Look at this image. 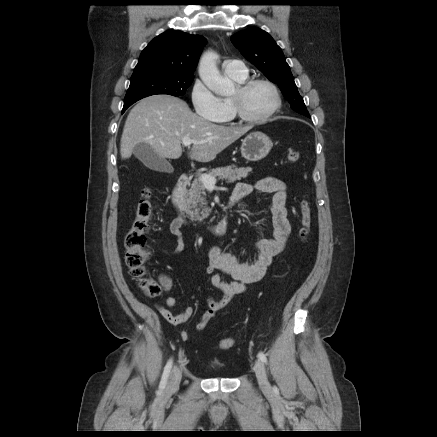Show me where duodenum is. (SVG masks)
I'll return each instance as SVG.
<instances>
[{
	"label": "duodenum",
	"instance_id": "duodenum-1",
	"mask_svg": "<svg viewBox=\"0 0 437 437\" xmlns=\"http://www.w3.org/2000/svg\"><path fill=\"white\" fill-rule=\"evenodd\" d=\"M190 182V175L187 173H183L179 178L178 181L172 191V204L177 212V217L180 219L182 224H187L188 220L185 213V206H184V194L186 191V188ZM237 201L235 197H231L229 206L234 204ZM228 227V220L227 217L224 216L216 225L209 227V230L212 234L221 236L225 234Z\"/></svg>",
	"mask_w": 437,
	"mask_h": 437
}]
</instances>
